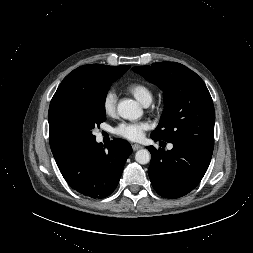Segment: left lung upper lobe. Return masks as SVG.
<instances>
[{
    "mask_svg": "<svg viewBox=\"0 0 253 253\" xmlns=\"http://www.w3.org/2000/svg\"><path fill=\"white\" fill-rule=\"evenodd\" d=\"M132 70L163 91L165 108L159 125L151 133L152 138L170 143H191L213 150V101L195 72L175 62H158Z\"/></svg>",
    "mask_w": 253,
    "mask_h": 253,
    "instance_id": "1",
    "label": "left lung upper lobe"
}]
</instances>
